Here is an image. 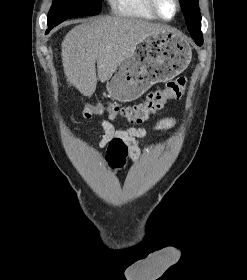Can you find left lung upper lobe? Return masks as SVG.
Listing matches in <instances>:
<instances>
[{
	"mask_svg": "<svg viewBox=\"0 0 247 280\" xmlns=\"http://www.w3.org/2000/svg\"><path fill=\"white\" fill-rule=\"evenodd\" d=\"M186 25L191 33L202 36L201 33V14L198 0H180Z\"/></svg>",
	"mask_w": 247,
	"mask_h": 280,
	"instance_id": "1",
	"label": "left lung upper lobe"
}]
</instances>
